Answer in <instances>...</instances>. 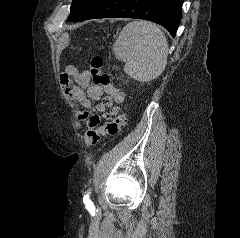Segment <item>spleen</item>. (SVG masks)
Listing matches in <instances>:
<instances>
[{
  "label": "spleen",
  "mask_w": 240,
  "mask_h": 238,
  "mask_svg": "<svg viewBox=\"0 0 240 238\" xmlns=\"http://www.w3.org/2000/svg\"><path fill=\"white\" fill-rule=\"evenodd\" d=\"M112 50L117 59L125 61L124 71L138 81L157 78L167 64V39L158 26L147 21L128 23Z\"/></svg>",
  "instance_id": "spleen-1"
}]
</instances>
